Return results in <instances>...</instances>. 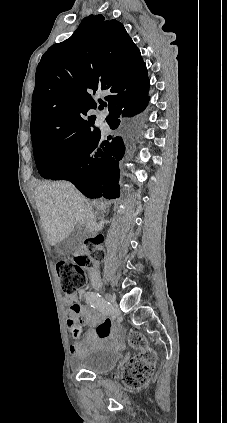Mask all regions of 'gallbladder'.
I'll return each mask as SVG.
<instances>
[{
  "mask_svg": "<svg viewBox=\"0 0 227 423\" xmlns=\"http://www.w3.org/2000/svg\"><path fill=\"white\" fill-rule=\"evenodd\" d=\"M88 237V231L83 227V225H77L75 229H73L72 233L59 241L55 247L56 253L58 255H65V257H70L71 253H73L74 249L83 243L84 239Z\"/></svg>",
  "mask_w": 227,
  "mask_h": 423,
  "instance_id": "1",
  "label": "gallbladder"
}]
</instances>
